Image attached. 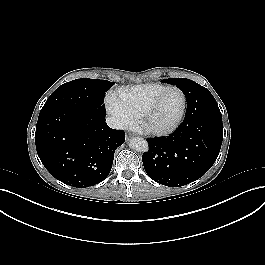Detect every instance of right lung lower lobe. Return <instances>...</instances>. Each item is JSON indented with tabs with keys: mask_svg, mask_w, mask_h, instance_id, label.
Masks as SVG:
<instances>
[{
	"mask_svg": "<svg viewBox=\"0 0 265 265\" xmlns=\"http://www.w3.org/2000/svg\"><path fill=\"white\" fill-rule=\"evenodd\" d=\"M92 110L57 107L41 110L36 125L37 154L53 177L78 188L102 182L125 132L106 124Z\"/></svg>",
	"mask_w": 265,
	"mask_h": 265,
	"instance_id": "right-lung-lower-lobe-1",
	"label": "right lung lower lobe"
}]
</instances>
